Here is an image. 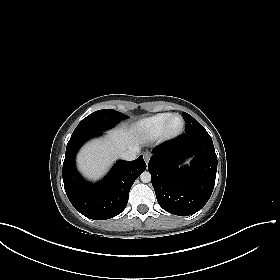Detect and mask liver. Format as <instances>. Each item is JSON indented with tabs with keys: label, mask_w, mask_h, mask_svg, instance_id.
Returning <instances> with one entry per match:
<instances>
[{
	"label": "liver",
	"mask_w": 280,
	"mask_h": 280,
	"mask_svg": "<svg viewBox=\"0 0 280 280\" xmlns=\"http://www.w3.org/2000/svg\"><path fill=\"white\" fill-rule=\"evenodd\" d=\"M140 142L135 128L111 130L106 139L94 140L81 149L77 158L78 167L85 176L97 179L105 173L113 156H120L131 147H138Z\"/></svg>",
	"instance_id": "6515ba94"
}]
</instances>
